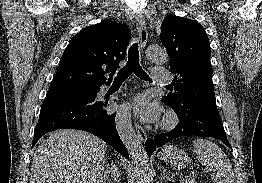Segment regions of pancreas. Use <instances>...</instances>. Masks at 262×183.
<instances>
[{
	"instance_id": "cf45deb5",
	"label": "pancreas",
	"mask_w": 262,
	"mask_h": 183,
	"mask_svg": "<svg viewBox=\"0 0 262 183\" xmlns=\"http://www.w3.org/2000/svg\"><path fill=\"white\" fill-rule=\"evenodd\" d=\"M193 176H190L189 178H188V181H185L184 183H197L196 181H195V179L194 178H192Z\"/></svg>"
}]
</instances>
